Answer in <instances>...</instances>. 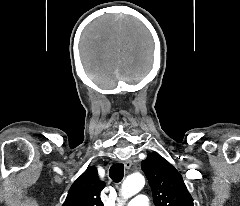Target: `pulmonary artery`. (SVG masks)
Listing matches in <instances>:
<instances>
[{
    "label": "pulmonary artery",
    "instance_id": "pulmonary-artery-1",
    "mask_svg": "<svg viewBox=\"0 0 240 206\" xmlns=\"http://www.w3.org/2000/svg\"><path fill=\"white\" fill-rule=\"evenodd\" d=\"M127 206H149L148 198L144 194H139L131 199Z\"/></svg>",
    "mask_w": 240,
    "mask_h": 206
}]
</instances>
